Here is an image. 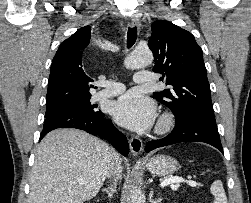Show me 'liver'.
<instances>
[{
  "label": "liver",
  "instance_id": "obj_1",
  "mask_svg": "<svg viewBox=\"0 0 251 203\" xmlns=\"http://www.w3.org/2000/svg\"><path fill=\"white\" fill-rule=\"evenodd\" d=\"M114 162L102 140L81 130H54L36 148L29 203H84L97 195Z\"/></svg>",
  "mask_w": 251,
  "mask_h": 203
}]
</instances>
